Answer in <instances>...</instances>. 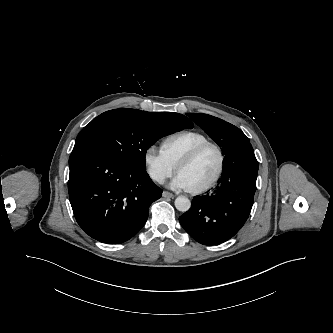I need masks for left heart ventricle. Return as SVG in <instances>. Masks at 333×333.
<instances>
[{
	"instance_id": "left-heart-ventricle-1",
	"label": "left heart ventricle",
	"mask_w": 333,
	"mask_h": 333,
	"mask_svg": "<svg viewBox=\"0 0 333 333\" xmlns=\"http://www.w3.org/2000/svg\"><path fill=\"white\" fill-rule=\"evenodd\" d=\"M218 154L209 148L196 160L184 166L179 173L185 178L190 189L198 188L206 184L214 176L218 167Z\"/></svg>"
}]
</instances>
